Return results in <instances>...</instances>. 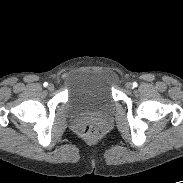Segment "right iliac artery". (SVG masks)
Wrapping results in <instances>:
<instances>
[{
	"mask_svg": "<svg viewBox=\"0 0 183 183\" xmlns=\"http://www.w3.org/2000/svg\"><path fill=\"white\" fill-rule=\"evenodd\" d=\"M43 86L44 87H47L48 86V83L47 82H44Z\"/></svg>",
	"mask_w": 183,
	"mask_h": 183,
	"instance_id": "right-iliac-artery-1",
	"label": "right iliac artery"
}]
</instances>
